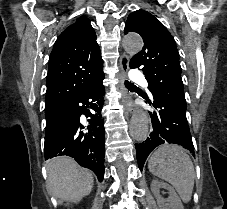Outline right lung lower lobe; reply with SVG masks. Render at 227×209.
<instances>
[{"instance_id":"1","label":"right lung lower lobe","mask_w":227,"mask_h":209,"mask_svg":"<svg viewBox=\"0 0 227 209\" xmlns=\"http://www.w3.org/2000/svg\"><path fill=\"white\" fill-rule=\"evenodd\" d=\"M103 79L104 75L92 80L85 90L57 106L46 120L44 145L45 160L62 155L73 157L81 166L91 169L100 182L104 178L105 154L104 122L101 119ZM89 106L95 114L89 112ZM82 114L91 117L86 131L80 123Z\"/></svg>"}]
</instances>
